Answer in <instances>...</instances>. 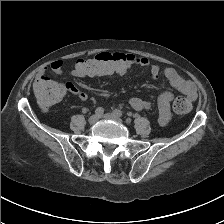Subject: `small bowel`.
<instances>
[{"mask_svg": "<svg viewBox=\"0 0 224 224\" xmlns=\"http://www.w3.org/2000/svg\"><path fill=\"white\" fill-rule=\"evenodd\" d=\"M120 57L124 58L128 66L137 65L144 68H150L151 75L154 79H158L161 73V68L157 64H151L149 59L145 57H138L133 54H123L118 53ZM51 70L61 75L63 73V61L62 60H55L50 64ZM165 77L168 79L170 85L175 88L176 90L180 91L184 95H186L190 100H195L197 97L196 88L193 82L190 80L185 79L181 76L174 68L167 67L163 70ZM71 75L73 76H83L79 71L76 69L71 71ZM123 75V74H119ZM42 78H46L45 70H41L38 73L37 80ZM66 89L70 91L76 98L80 101H86L87 95L78 90L74 84L67 83ZM174 95L171 91H164L160 94L157 106H158V121L161 125H165L169 122L171 117L170 112V103L173 100ZM130 106L137 111H141L143 109L151 108L152 104L150 101L145 100L140 97H131L129 100Z\"/></svg>", "mask_w": 224, "mask_h": 224, "instance_id": "1", "label": "small bowel"}]
</instances>
